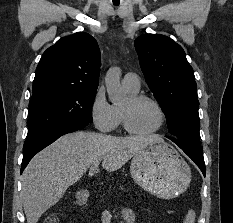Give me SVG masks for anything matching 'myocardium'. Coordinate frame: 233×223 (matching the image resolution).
I'll use <instances>...</instances> for the list:
<instances>
[{"label": "myocardium", "instance_id": "obj_1", "mask_svg": "<svg viewBox=\"0 0 233 223\" xmlns=\"http://www.w3.org/2000/svg\"><path fill=\"white\" fill-rule=\"evenodd\" d=\"M141 101H150L157 107L159 114H160V119H161L159 126L150 132H138V131L134 130L130 124L128 110L125 108H122L121 109V119H122V124H123L124 129L126 130V132L128 134L135 136V137H150V136H153V135L160 133L164 129V127L166 125V120H167L166 112H165L162 104L156 98H154L150 95H145V94H134V95H131L127 99V102L130 105L137 104Z\"/></svg>", "mask_w": 233, "mask_h": 223}]
</instances>
